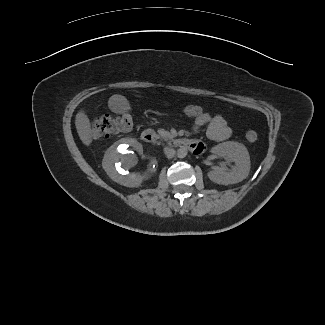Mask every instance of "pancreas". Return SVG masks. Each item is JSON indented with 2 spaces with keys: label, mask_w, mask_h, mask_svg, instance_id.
<instances>
[{
  "label": "pancreas",
  "mask_w": 325,
  "mask_h": 325,
  "mask_svg": "<svg viewBox=\"0 0 325 325\" xmlns=\"http://www.w3.org/2000/svg\"><path fill=\"white\" fill-rule=\"evenodd\" d=\"M158 135L163 138L164 140H168L172 138V135L170 132L164 130V129H158Z\"/></svg>",
  "instance_id": "obj_1"
}]
</instances>
